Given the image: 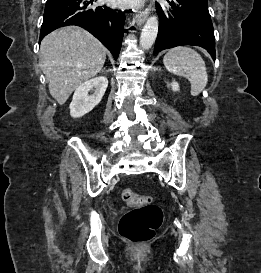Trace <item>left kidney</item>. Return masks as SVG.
<instances>
[{
  "label": "left kidney",
  "instance_id": "left-kidney-1",
  "mask_svg": "<svg viewBox=\"0 0 261 273\" xmlns=\"http://www.w3.org/2000/svg\"><path fill=\"white\" fill-rule=\"evenodd\" d=\"M170 86L173 91H179V84L176 81H173Z\"/></svg>",
  "mask_w": 261,
  "mask_h": 273
}]
</instances>
